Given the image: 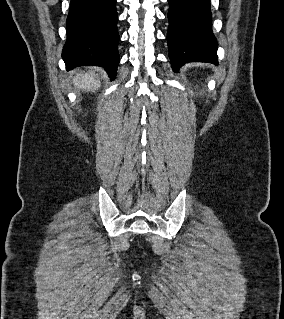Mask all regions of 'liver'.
<instances>
[{
    "mask_svg": "<svg viewBox=\"0 0 284 319\" xmlns=\"http://www.w3.org/2000/svg\"><path fill=\"white\" fill-rule=\"evenodd\" d=\"M73 83L77 87V89L91 92L98 90V88L100 87V80L98 79V75H95V72L92 70L87 73L83 72L77 74V76L73 79Z\"/></svg>",
    "mask_w": 284,
    "mask_h": 319,
    "instance_id": "obj_1",
    "label": "liver"
}]
</instances>
